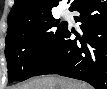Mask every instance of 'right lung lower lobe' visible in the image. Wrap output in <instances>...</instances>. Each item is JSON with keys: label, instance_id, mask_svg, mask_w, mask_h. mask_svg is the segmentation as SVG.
Wrapping results in <instances>:
<instances>
[{"label": "right lung lower lobe", "instance_id": "98d812e1", "mask_svg": "<svg viewBox=\"0 0 107 89\" xmlns=\"http://www.w3.org/2000/svg\"><path fill=\"white\" fill-rule=\"evenodd\" d=\"M81 15L82 37L71 40L66 28L56 48L33 76L59 74L90 83L96 89H107V1L75 0L69 8Z\"/></svg>", "mask_w": 107, "mask_h": 89}]
</instances>
